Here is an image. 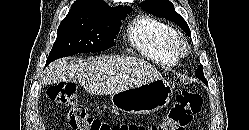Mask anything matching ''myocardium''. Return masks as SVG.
Returning <instances> with one entry per match:
<instances>
[{
	"label": "myocardium",
	"instance_id": "obj_1",
	"mask_svg": "<svg viewBox=\"0 0 249 130\" xmlns=\"http://www.w3.org/2000/svg\"><path fill=\"white\" fill-rule=\"evenodd\" d=\"M172 49L178 58L185 57L190 52V45L188 41L182 37L177 36L175 39Z\"/></svg>",
	"mask_w": 249,
	"mask_h": 130
}]
</instances>
